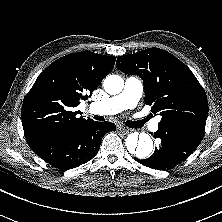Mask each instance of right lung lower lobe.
I'll use <instances>...</instances> for the list:
<instances>
[{"label":"right lung lower lobe","instance_id":"1","mask_svg":"<svg viewBox=\"0 0 222 222\" xmlns=\"http://www.w3.org/2000/svg\"><path fill=\"white\" fill-rule=\"evenodd\" d=\"M115 130L113 123L90 120L67 132L50 133L26 141L44 161L68 170L90 161L97 154L103 135Z\"/></svg>","mask_w":222,"mask_h":222}]
</instances>
